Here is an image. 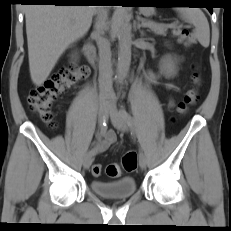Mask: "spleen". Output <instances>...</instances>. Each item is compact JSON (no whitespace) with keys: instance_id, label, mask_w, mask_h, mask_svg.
Returning <instances> with one entry per match:
<instances>
[{"instance_id":"spleen-1","label":"spleen","mask_w":231,"mask_h":231,"mask_svg":"<svg viewBox=\"0 0 231 231\" xmlns=\"http://www.w3.org/2000/svg\"><path fill=\"white\" fill-rule=\"evenodd\" d=\"M181 17L195 26L194 35L200 44L207 48L210 42V28L204 13L198 8H176Z\"/></svg>"}]
</instances>
